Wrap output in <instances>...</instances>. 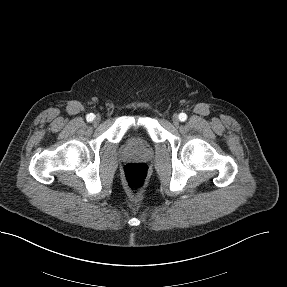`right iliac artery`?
<instances>
[{
    "instance_id": "82829eb1",
    "label": "right iliac artery",
    "mask_w": 287,
    "mask_h": 287,
    "mask_svg": "<svg viewBox=\"0 0 287 287\" xmlns=\"http://www.w3.org/2000/svg\"><path fill=\"white\" fill-rule=\"evenodd\" d=\"M94 118H95V115L92 114V113H90V114H88V115L86 116V120H87L88 122H92V121L94 120Z\"/></svg>"
}]
</instances>
